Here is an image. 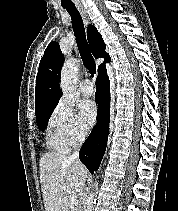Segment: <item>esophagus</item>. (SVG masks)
<instances>
[{"mask_svg": "<svg viewBox=\"0 0 178 211\" xmlns=\"http://www.w3.org/2000/svg\"><path fill=\"white\" fill-rule=\"evenodd\" d=\"M79 11H80V14H81V16H82V18L84 20V23L86 25H88L90 23V19H89L87 11L85 9H83V8H79Z\"/></svg>", "mask_w": 178, "mask_h": 211, "instance_id": "obj_1", "label": "esophagus"}]
</instances>
